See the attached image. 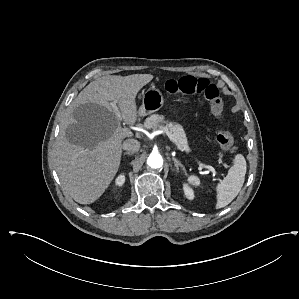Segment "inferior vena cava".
<instances>
[{"label": "inferior vena cava", "instance_id": "602c4592", "mask_svg": "<svg viewBox=\"0 0 299 299\" xmlns=\"http://www.w3.org/2000/svg\"><path fill=\"white\" fill-rule=\"evenodd\" d=\"M122 148L130 153H135L139 151L140 142L135 139H127L123 142Z\"/></svg>", "mask_w": 299, "mask_h": 299}]
</instances>
